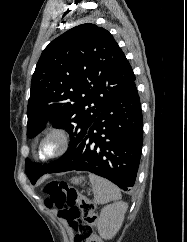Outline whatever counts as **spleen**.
Segmentation results:
<instances>
[{"label":"spleen","mask_w":187,"mask_h":242,"mask_svg":"<svg viewBox=\"0 0 187 242\" xmlns=\"http://www.w3.org/2000/svg\"><path fill=\"white\" fill-rule=\"evenodd\" d=\"M89 180L94 193L96 204H106L121 198L119 188L110 181L94 174H89Z\"/></svg>","instance_id":"1"}]
</instances>
